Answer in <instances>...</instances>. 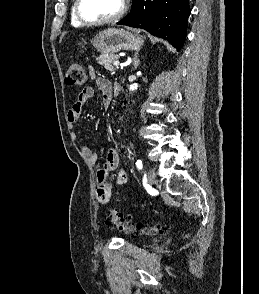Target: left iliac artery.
I'll return each mask as SVG.
<instances>
[{
  "mask_svg": "<svg viewBox=\"0 0 259 294\" xmlns=\"http://www.w3.org/2000/svg\"><path fill=\"white\" fill-rule=\"evenodd\" d=\"M136 166H137L138 169H142V161L141 160H137Z\"/></svg>",
  "mask_w": 259,
  "mask_h": 294,
  "instance_id": "1",
  "label": "left iliac artery"
}]
</instances>
